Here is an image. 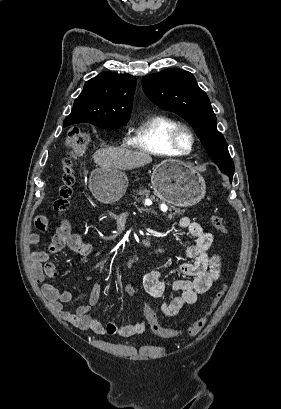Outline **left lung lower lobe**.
Returning <instances> with one entry per match:
<instances>
[{
	"mask_svg": "<svg viewBox=\"0 0 281 409\" xmlns=\"http://www.w3.org/2000/svg\"><path fill=\"white\" fill-rule=\"evenodd\" d=\"M229 176V178H230V182H232V177H233V175H228Z\"/></svg>",
	"mask_w": 281,
	"mask_h": 409,
	"instance_id": "left-lung-lower-lobe-1",
	"label": "left lung lower lobe"
}]
</instances>
